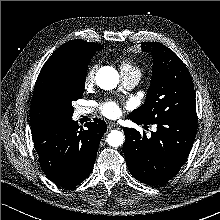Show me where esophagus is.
I'll list each match as a JSON object with an SVG mask.
<instances>
[{
    "instance_id": "1",
    "label": "esophagus",
    "mask_w": 220,
    "mask_h": 220,
    "mask_svg": "<svg viewBox=\"0 0 220 220\" xmlns=\"http://www.w3.org/2000/svg\"><path fill=\"white\" fill-rule=\"evenodd\" d=\"M115 126H117L114 122H111V121H108L107 122V127L109 128V129H111V128H113V127H115Z\"/></svg>"
}]
</instances>
